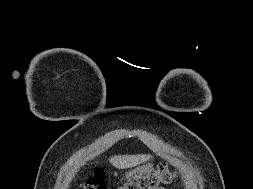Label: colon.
<instances>
[{"mask_svg": "<svg viewBox=\"0 0 253 189\" xmlns=\"http://www.w3.org/2000/svg\"><path fill=\"white\" fill-rule=\"evenodd\" d=\"M173 178L174 174L170 169L165 164H161L155 170L135 181L125 183L118 189H161L163 184L170 183ZM78 189H106L103 171L96 170L93 175L79 184Z\"/></svg>", "mask_w": 253, "mask_h": 189, "instance_id": "1", "label": "colon"}]
</instances>
